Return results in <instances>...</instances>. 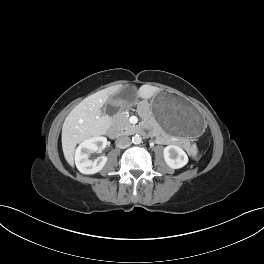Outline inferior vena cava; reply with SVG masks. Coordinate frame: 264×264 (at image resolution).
Instances as JSON below:
<instances>
[{"instance_id":"inferior-vena-cava-1","label":"inferior vena cava","mask_w":264,"mask_h":264,"mask_svg":"<svg viewBox=\"0 0 264 264\" xmlns=\"http://www.w3.org/2000/svg\"><path fill=\"white\" fill-rule=\"evenodd\" d=\"M131 145V139L128 136H121L116 140V146L118 148H127Z\"/></svg>"}]
</instances>
